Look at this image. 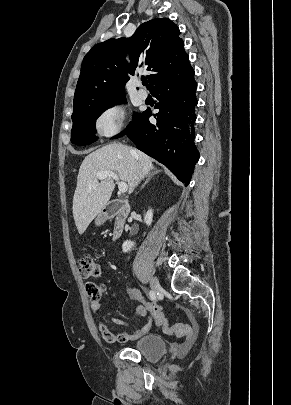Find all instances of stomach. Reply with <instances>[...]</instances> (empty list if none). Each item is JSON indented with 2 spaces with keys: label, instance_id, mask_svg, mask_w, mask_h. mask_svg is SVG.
I'll return each mask as SVG.
<instances>
[{
  "label": "stomach",
  "instance_id": "1",
  "mask_svg": "<svg viewBox=\"0 0 291 405\" xmlns=\"http://www.w3.org/2000/svg\"><path fill=\"white\" fill-rule=\"evenodd\" d=\"M108 213L105 210H101V212L97 215L95 219V224L97 226L102 225L108 219Z\"/></svg>",
  "mask_w": 291,
  "mask_h": 405
}]
</instances>
